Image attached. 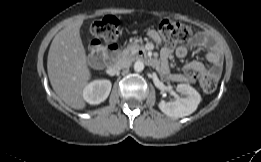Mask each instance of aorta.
Masks as SVG:
<instances>
[{"instance_id":"aorta-1","label":"aorta","mask_w":261,"mask_h":162,"mask_svg":"<svg viewBox=\"0 0 261 162\" xmlns=\"http://www.w3.org/2000/svg\"><path fill=\"white\" fill-rule=\"evenodd\" d=\"M144 69V63L140 60H137L135 63H134V70L136 72H141L143 71Z\"/></svg>"}]
</instances>
